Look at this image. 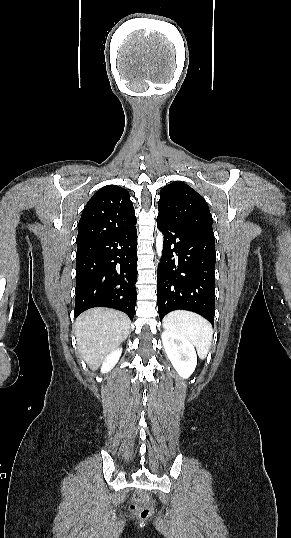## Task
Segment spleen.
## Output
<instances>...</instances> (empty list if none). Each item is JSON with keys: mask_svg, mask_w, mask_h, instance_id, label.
Listing matches in <instances>:
<instances>
[{"mask_svg": "<svg viewBox=\"0 0 291 538\" xmlns=\"http://www.w3.org/2000/svg\"><path fill=\"white\" fill-rule=\"evenodd\" d=\"M163 327L188 338L196 346L200 358H206L213 338V329L202 316L185 310H175L163 318Z\"/></svg>", "mask_w": 291, "mask_h": 538, "instance_id": "1", "label": "spleen"}]
</instances>
